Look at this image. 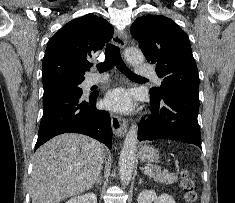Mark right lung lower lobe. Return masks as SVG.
Instances as JSON below:
<instances>
[{
  "label": "right lung lower lobe",
  "mask_w": 235,
  "mask_h": 203,
  "mask_svg": "<svg viewBox=\"0 0 235 203\" xmlns=\"http://www.w3.org/2000/svg\"><path fill=\"white\" fill-rule=\"evenodd\" d=\"M71 93L43 103L35 150L49 139L62 133H81L112 147L110 115L96 108V97Z\"/></svg>",
  "instance_id": "98d812e1"
}]
</instances>
